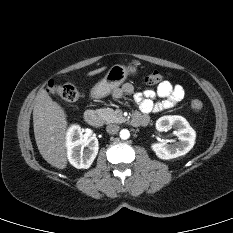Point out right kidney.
<instances>
[{
  "mask_svg": "<svg viewBox=\"0 0 233 233\" xmlns=\"http://www.w3.org/2000/svg\"><path fill=\"white\" fill-rule=\"evenodd\" d=\"M66 148L69 162L78 169H87L98 154V139H84L81 127L72 125L66 133Z\"/></svg>",
  "mask_w": 233,
  "mask_h": 233,
  "instance_id": "1",
  "label": "right kidney"
}]
</instances>
